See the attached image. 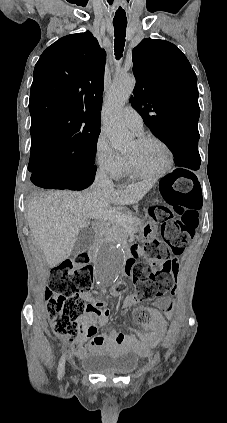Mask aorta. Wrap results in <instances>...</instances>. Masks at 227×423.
Here are the masks:
<instances>
[{"label": "aorta", "mask_w": 227, "mask_h": 423, "mask_svg": "<svg viewBox=\"0 0 227 423\" xmlns=\"http://www.w3.org/2000/svg\"><path fill=\"white\" fill-rule=\"evenodd\" d=\"M135 86V79L129 75L117 76L107 92L103 106L102 121L113 148L122 150L132 142V135L122 120V109ZM122 245L118 242L102 245L95 256L94 274L100 284L114 283L123 268Z\"/></svg>", "instance_id": "1"}]
</instances>
